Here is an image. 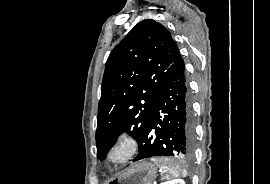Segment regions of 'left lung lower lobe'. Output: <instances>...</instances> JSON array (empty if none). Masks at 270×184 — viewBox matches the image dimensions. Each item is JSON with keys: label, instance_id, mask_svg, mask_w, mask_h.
Instances as JSON below:
<instances>
[{"label": "left lung lower lobe", "instance_id": "0a47b994", "mask_svg": "<svg viewBox=\"0 0 270 184\" xmlns=\"http://www.w3.org/2000/svg\"><path fill=\"white\" fill-rule=\"evenodd\" d=\"M191 98L182 58L163 84L133 161L173 156L189 161L194 154Z\"/></svg>", "mask_w": 270, "mask_h": 184}]
</instances>
